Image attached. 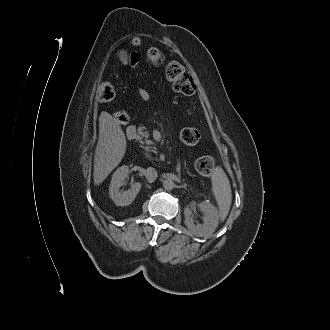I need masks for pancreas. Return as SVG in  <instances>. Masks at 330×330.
I'll use <instances>...</instances> for the list:
<instances>
[{"label":"pancreas","mask_w":330,"mask_h":330,"mask_svg":"<svg viewBox=\"0 0 330 330\" xmlns=\"http://www.w3.org/2000/svg\"><path fill=\"white\" fill-rule=\"evenodd\" d=\"M145 143L148 144V145H151L153 144V142L151 140H148L147 137H148V134H145Z\"/></svg>","instance_id":"cf45deb5"}]
</instances>
